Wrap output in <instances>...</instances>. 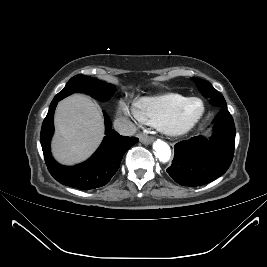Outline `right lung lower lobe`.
Here are the masks:
<instances>
[{
	"label": "right lung lower lobe",
	"mask_w": 267,
	"mask_h": 267,
	"mask_svg": "<svg viewBox=\"0 0 267 267\" xmlns=\"http://www.w3.org/2000/svg\"><path fill=\"white\" fill-rule=\"evenodd\" d=\"M53 99L41 128V145L44 159L51 175L60 183L81 190L95 189L106 185L120 166L124 153L135 143L137 138L120 136L112 130L109 116L104 113L105 134L101 146L87 161L73 167L57 163L50 152V140L54 132L53 115L58 103Z\"/></svg>",
	"instance_id": "98d812e1"
}]
</instances>
